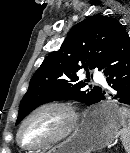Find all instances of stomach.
I'll return each instance as SVG.
<instances>
[{"mask_svg":"<svg viewBox=\"0 0 130 153\" xmlns=\"http://www.w3.org/2000/svg\"><path fill=\"white\" fill-rule=\"evenodd\" d=\"M118 109L113 102L91 109L65 142L42 153H91L106 147L121 126Z\"/></svg>","mask_w":130,"mask_h":153,"instance_id":"stomach-1","label":"stomach"}]
</instances>
